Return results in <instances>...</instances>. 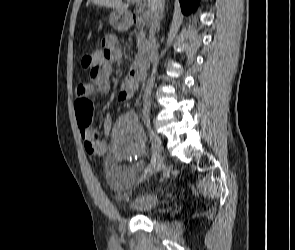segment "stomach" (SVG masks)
<instances>
[{"label":"stomach","instance_id":"0dacf381","mask_svg":"<svg viewBox=\"0 0 295 250\" xmlns=\"http://www.w3.org/2000/svg\"><path fill=\"white\" fill-rule=\"evenodd\" d=\"M110 24L118 31H124L128 28L130 20L125 12L115 10L109 19Z\"/></svg>","mask_w":295,"mask_h":250}]
</instances>
